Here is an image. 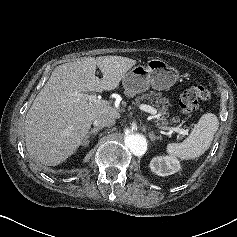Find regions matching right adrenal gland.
Returning a JSON list of instances; mask_svg holds the SVG:
<instances>
[{
  "mask_svg": "<svg viewBox=\"0 0 237 237\" xmlns=\"http://www.w3.org/2000/svg\"><path fill=\"white\" fill-rule=\"evenodd\" d=\"M101 127H95L91 129V131L88 132V134L85 136L82 145H88L90 142V138L94 139V137L97 135L98 131H100Z\"/></svg>",
  "mask_w": 237,
  "mask_h": 237,
  "instance_id": "obj_1",
  "label": "right adrenal gland"
}]
</instances>
